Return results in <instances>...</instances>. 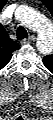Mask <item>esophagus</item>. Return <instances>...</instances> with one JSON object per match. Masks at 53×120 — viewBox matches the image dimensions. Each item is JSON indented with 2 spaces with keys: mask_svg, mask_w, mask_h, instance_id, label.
Segmentation results:
<instances>
[{
  "mask_svg": "<svg viewBox=\"0 0 53 120\" xmlns=\"http://www.w3.org/2000/svg\"><path fill=\"white\" fill-rule=\"evenodd\" d=\"M35 36H30L28 39H24L21 43L22 44H29L32 43L33 41H35Z\"/></svg>",
  "mask_w": 53,
  "mask_h": 120,
  "instance_id": "obj_1",
  "label": "esophagus"
}]
</instances>
